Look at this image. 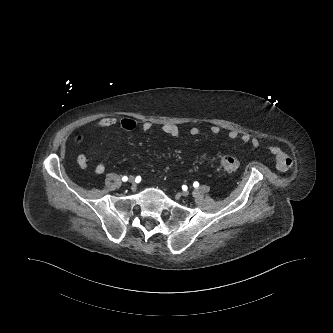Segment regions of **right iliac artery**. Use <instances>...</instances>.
Returning <instances> with one entry per match:
<instances>
[{
  "label": "right iliac artery",
  "instance_id": "82829eb1",
  "mask_svg": "<svg viewBox=\"0 0 333 333\" xmlns=\"http://www.w3.org/2000/svg\"><path fill=\"white\" fill-rule=\"evenodd\" d=\"M127 180H128V177H127V176H123V177H122V181H123V182H126Z\"/></svg>",
  "mask_w": 333,
  "mask_h": 333
}]
</instances>
